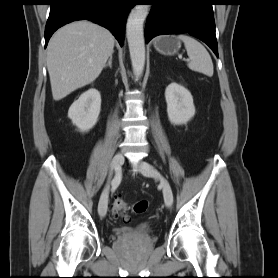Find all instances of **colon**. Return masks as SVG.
<instances>
[{
	"label": "colon",
	"instance_id": "colon-1",
	"mask_svg": "<svg viewBox=\"0 0 278 278\" xmlns=\"http://www.w3.org/2000/svg\"><path fill=\"white\" fill-rule=\"evenodd\" d=\"M148 203L145 200H140L134 203L131 207L135 213H143L146 211ZM129 207L125 201L120 198H115L113 201V214L117 217H122L125 220L129 219L128 216Z\"/></svg>",
	"mask_w": 278,
	"mask_h": 278
}]
</instances>
